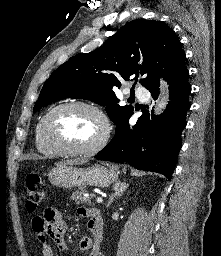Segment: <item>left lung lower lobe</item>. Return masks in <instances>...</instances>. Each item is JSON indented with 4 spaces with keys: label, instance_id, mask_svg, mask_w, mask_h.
Wrapping results in <instances>:
<instances>
[{
    "label": "left lung lower lobe",
    "instance_id": "obj_1",
    "mask_svg": "<svg viewBox=\"0 0 221 256\" xmlns=\"http://www.w3.org/2000/svg\"><path fill=\"white\" fill-rule=\"evenodd\" d=\"M188 77L189 71L184 67L168 78L170 101L164 113L150 118L149 112L143 110L133 127L129 126V119L118 124L116 135L95 158L128 163L139 170L161 173L170 180L182 146L185 116L190 109ZM159 86L157 84L148 89L154 100L159 95Z\"/></svg>",
    "mask_w": 221,
    "mask_h": 256
}]
</instances>
